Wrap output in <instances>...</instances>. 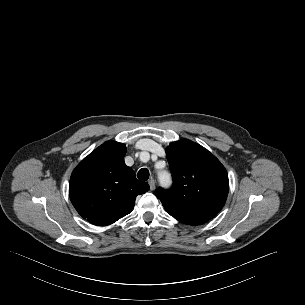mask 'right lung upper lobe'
Wrapping results in <instances>:
<instances>
[{"instance_id": "right-lung-upper-lobe-1", "label": "right lung upper lobe", "mask_w": 305, "mask_h": 305, "mask_svg": "<svg viewBox=\"0 0 305 305\" xmlns=\"http://www.w3.org/2000/svg\"><path fill=\"white\" fill-rule=\"evenodd\" d=\"M126 147L108 141L84 158L72 172L69 196L89 223L110 225L129 214L137 195L149 190L124 162Z\"/></svg>"}]
</instances>
